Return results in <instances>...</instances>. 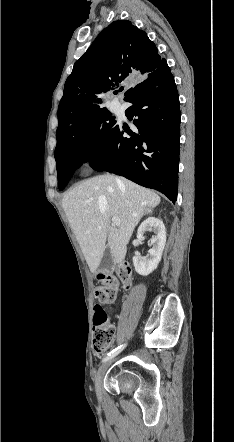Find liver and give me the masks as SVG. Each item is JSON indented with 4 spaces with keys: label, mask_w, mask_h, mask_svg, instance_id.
<instances>
[{
    "label": "liver",
    "mask_w": 234,
    "mask_h": 442,
    "mask_svg": "<svg viewBox=\"0 0 234 442\" xmlns=\"http://www.w3.org/2000/svg\"><path fill=\"white\" fill-rule=\"evenodd\" d=\"M160 200L155 192L109 174L90 178L67 192L62 207L92 273L106 248L114 263L124 260L135 227ZM113 216L120 226H111Z\"/></svg>",
    "instance_id": "6515ba94"
}]
</instances>
